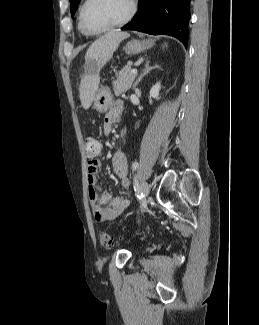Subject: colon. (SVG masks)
I'll use <instances>...</instances> for the list:
<instances>
[{
	"label": "colon",
	"instance_id": "5ec220e1",
	"mask_svg": "<svg viewBox=\"0 0 259 325\" xmlns=\"http://www.w3.org/2000/svg\"><path fill=\"white\" fill-rule=\"evenodd\" d=\"M101 148V143L98 142L93 137H87L84 141V149L86 156H91L97 153L98 149ZM100 244L105 247L109 248L113 245V240L111 236L104 231H101L98 235Z\"/></svg>",
	"mask_w": 259,
	"mask_h": 325
}]
</instances>
